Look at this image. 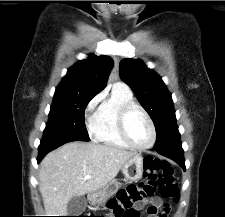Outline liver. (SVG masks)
Masks as SVG:
<instances>
[{
  "label": "liver",
  "mask_w": 225,
  "mask_h": 217,
  "mask_svg": "<svg viewBox=\"0 0 225 217\" xmlns=\"http://www.w3.org/2000/svg\"><path fill=\"white\" fill-rule=\"evenodd\" d=\"M135 155L112 146L78 141L48 153L39 169V191L46 214L66 216L72 197L103 188ZM86 175L91 178L85 179Z\"/></svg>",
  "instance_id": "liver-1"
}]
</instances>
